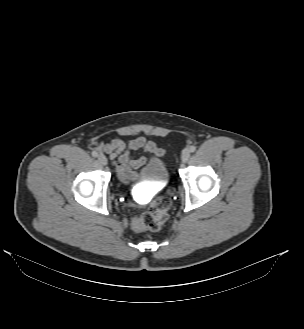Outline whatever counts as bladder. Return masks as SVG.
<instances>
[{"label": "bladder", "mask_w": 304, "mask_h": 329, "mask_svg": "<svg viewBox=\"0 0 304 329\" xmlns=\"http://www.w3.org/2000/svg\"><path fill=\"white\" fill-rule=\"evenodd\" d=\"M143 181L166 182L169 179L168 168L162 158L154 156L148 159L140 169Z\"/></svg>", "instance_id": "1"}]
</instances>
